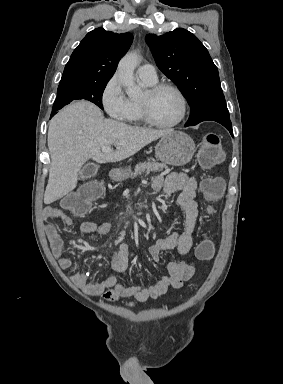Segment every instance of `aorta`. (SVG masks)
Returning <instances> with one entry per match:
<instances>
[{
    "mask_svg": "<svg viewBox=\"0 0 283 384\" xmlns=\"http://www.w3.org/2000/svg\"><path fill=\"white\" fill-rule=\"evenodd\" d=\"M139 63V55L137 52L127 53L118 64V75L126 92L130 97H137L140 95L141 90L135 84L134 70Z\"/></svg>",
    "mask_w": 283,
    "mask_h": 384,
    "instance_id": "762f6f07",
    "label": "aorta"
}]
</instances>
